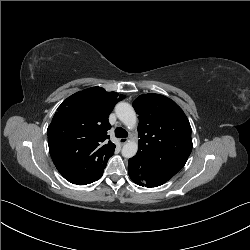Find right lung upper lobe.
<instances>
[{"mask_svg":"<svg viewBox=\"0 0 250 250\" xmlns=\"http://www.w3.org/2000/svg\"><path fill=\"white\" fill-rule=\"evenodd\" d=\"M124 98L92 87L71 95L58 107L47 130L49 152L69 182L86 185L102 176L115 149L108 141V116Z\"/></svg>","mask_w":250,"mask_h":250,"instance_id":"cb5924a9","label":"right lung upper lobe"}]
</instances>
